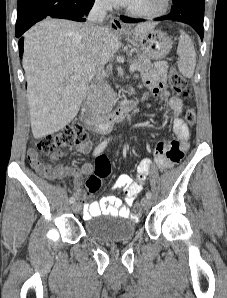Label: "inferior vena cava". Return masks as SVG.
<instances>
[{
	"instance_id": "1",
	"label": "inferior vena cava",
	"mask_w": 227,
	"mask_h": 298,
	"mask_svg": "<svg viewBox=\"0 0 227 298\" xmlns=\"http://www.w3.org/2000/svg\"><path fill=\"white\" fill-rule=\"evenodd\" d=\"M111 4L109 0H95V3L88 15V23L84 27V31L90 40L97 37V33L101 28L99 25L103 22L107 10L110 9ZM103 67L98 69L97 79L99 83L103 80Z\"/></svg>"
}]
</instances>
